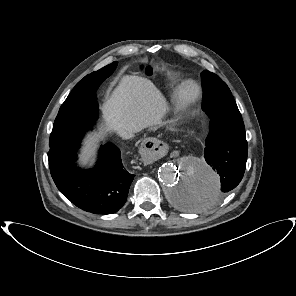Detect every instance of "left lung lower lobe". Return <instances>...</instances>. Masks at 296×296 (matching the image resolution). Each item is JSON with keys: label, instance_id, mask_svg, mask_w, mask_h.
<instances>
[{"label": "left lung lower lobe", "instance_id": "left-lung-lower-lobe-1", "mask_svg": "<svg viewBox=\"0 0 296 296\" xmlns=\"http://www.w3.org/2000/svg\"><path fill=\"white\" fill-rule=\"evenodd\" d=\"M202 110L210 118L204 157L219 174L221 189L202 192L187 178L177 191L178 203L185 210H203L214 205L240 183L246 167L245 127L235 100L209 98L203 101Z\"/></svg>", "mask_w": 296, "mask_h": 296}]
</instances>
